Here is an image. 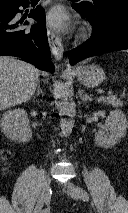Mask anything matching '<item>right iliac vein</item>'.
Masks as SVG:
<instances>
[{
    "label": "right iliac vein",
    "mask_w": 128,
    "mask_h": 213,
    "mask_svg": "<svg viewBox=\"0 0 128 213\" xmlns=\"http://www.w3.org/2000/svg\"><path fill=\"white\" fill-rule=\"evenodd\" d=\"M50 182H51V178L49 175H47L42 181L39 198L33 213H41L43 204L49 200Z\"/></svg>",
    "instance_id": "1"
}]
</instances>
